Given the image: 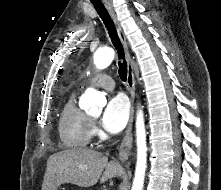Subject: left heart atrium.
Returning a JSON list of instances; mask_svg holds the SVG:
<instances>
[{"label":"left heart atrium","mask_w":221,"mask_h":190,"mask_svg":"<svg viewBox=\"0 0 221 190\" xmlns=\"http://www.w3.org/2000/svg\"><path fill=\"white\" fill-rule=\"evenodd\" d=\"M130 114L128 100L123 95H116L107 101L101 124L110 133L120 132L127 124Z\"/></svg>","instance_id":"left-heart-atrium-1"}]
</instances>
